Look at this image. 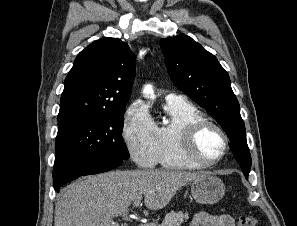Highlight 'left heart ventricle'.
I'll list each match as a JSON object with an SVG mask.
<instances>
[{
	"label": "left heart ventricle",
	"instance_id": "1",
	"mask_svg": "<svg viewBox=\"0 0 297 226\" xmlns=\"http://www.w3.org/2000/svg\"><path fill=\"white\" fill-rule=\"evenodd\" d=\"M222 138L219 133L209 127L202 131L197 140L198 154L207 160L218 157L222 149Z\"/></svg>",
	"mask_w": 297,
	"mask_h": 226
}]
</instances>
